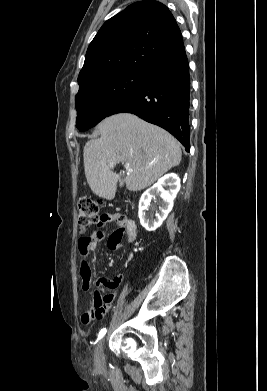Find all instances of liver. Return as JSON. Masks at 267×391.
<instances>
[{
	"label": "liver",
	"instance_id": "6515ba94",
	"mask_svg": "<svg viewBox=\"0 0 267 391\" xmlns=\"http://www.w3.org/2000/svg\"><path fill=\"white\" fill-rule=\"evenodd\" d=\"M98 139L88 141L83 150L87 183L92 192L112 199L118 177L109 166L129 163L133 171L125 177L130 191H140L181 162L177 140L162 128L129 113H119L102 120Z\"/></svg>",
	"mask_w": 267,
	"mask_h": 391
}]
</instances>
